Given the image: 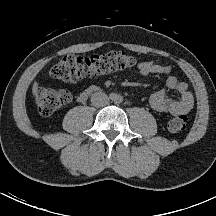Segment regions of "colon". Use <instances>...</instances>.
I'll return each instance as SVG.
<instances>
[{
	"mask_svg": "<svg viewBox=\"0 0 216 216\" xmlns=\"http://www.w3.org/2000/svg\"><path fill=\"white\" fill-rule=\"evenodd\" d=\"M138 60L121 51H113L103 55L81 56L69 54L61 58L50 70L51 77L63 81H78L86 77L123 70L136 66ZM72 95L67 90H54L42 87L36 93V102L41 115L49 116L68 105ZM188 118L178 115L169 121L168 128L172 132L185 129Z\"/></svg>",
	"mask_w": 216,
	"mask_h": 216,
	"instance_id": "5ec220e1",
	"label": "colon"
}]
</instances>
